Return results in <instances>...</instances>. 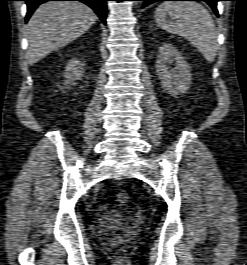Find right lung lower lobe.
Returning a JSON list of instances; mask_svg holds the SVG:
<instances>
[{
	"label": "right lung lower lobe",
	"mask_w": 247,
	"mask_h": 265,
	"mask_svg": "<svg viewBox=\"0 0 247 265\" xmlns=\"http://www.w3.org/2000/svg\"><path fill=\"white\" fill-rule=\"evenodd\" d=\"M27 4V15L26 22L29 20L30 16L34 10L42 3L47 1H80L91 7L95 13L99 16L101 21L106 24V12H107V1L108 0H24Z\"/></svg>",
	"instance_id": "obj_1"
}]
</instances>
